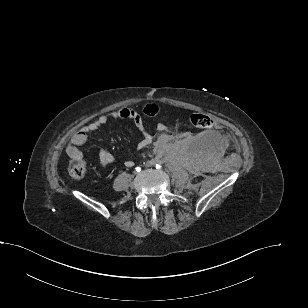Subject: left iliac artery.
Wrapping results in <instances>:
<instances>
[{
  "label": "left iliac artery",
  "mask_w": 308,
  "mask_h": 308,
  "mask_svg": "<svg viewBox=\"0 0 308 308\" xmlns=\"http://www.w3.org/2000/svg\"><path fill=\"white\" fill-rule=\"evenodd\" d=\"M161 167V165L160 164H156V168L158 169V168H160Z\"/></svg>",
  "instance_id": "44dca946"
}]
</instances>
